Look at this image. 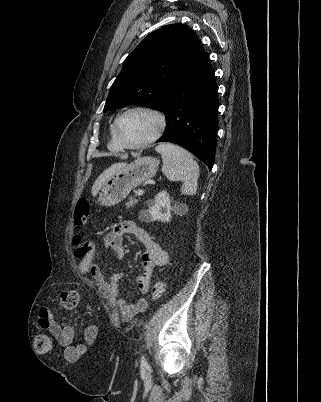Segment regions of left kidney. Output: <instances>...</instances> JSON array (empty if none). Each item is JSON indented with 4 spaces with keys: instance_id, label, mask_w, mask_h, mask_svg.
<instances>
[{
    "instance_id": "1",
    "label": "left kidney",
    "mask_w": 321,
    "mask_h": 402,
    "mask_svg": "<svg viewBox=\"0 0 321 402\" xmlns=\"http://www.w3.org/2000/svg\"><path fill=\"white\" fill-rule=\"evenodd\" d=\"M171 201L169 193L162 190L156 195L154 200L148 202L149 209L140 212V218L148 222L156 220L170 222L172 218L171 211L173 210Z\"/></svg>"
}]
</instances>
